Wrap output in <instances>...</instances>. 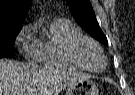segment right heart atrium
Returning <instances> with one entry per match:
<instances>
[{
    "label": "right heart atrium",
    "mask_w": 135,
    "mask_h": 95,
    "mask_svg": "<svg viewBox=\"0 0 135 95\" xmlns=\"http://www.w3.org/2000/svg\"><path fill=\"white\" fill-rule=\"evenodd\" d=\"M16 45L20 52L30 60H38L39 43L33 36L31 25L24 27L16 38Z\"/></svg>",
    "instance_id": "1"
}]
</instances>
